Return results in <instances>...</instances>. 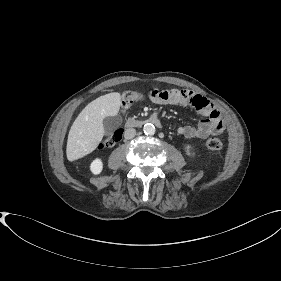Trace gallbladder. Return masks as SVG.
Here are the masks:
<instances>
[{
    "mask_svg": "<svg viewBox=\"0 0 281 281\" xmlns=\"http://www.w3.org/2000/svg\"><path fill=\"white\" fill-rule=\"evenodd\" d=\"M121 123L122 118L118 115L105 117L103 120L105 134H111L121 125Z\"/></svg>",
    "mask_w": 281,
    "mask_h": 281,
    "instance_id": "gallbladder-1",
    "label": "gallbladder"
}]
</instances>
